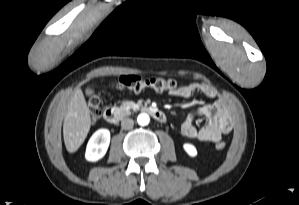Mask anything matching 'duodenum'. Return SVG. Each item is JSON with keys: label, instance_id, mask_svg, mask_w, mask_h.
<instances>
[{"label": "duodenum", "instance_id": "obj_1", "mask_svg": "<svg viewBox=\"0 0 299 205\" xmlns=\"http://www.w3.org/2000/svg\"><path fill=\"white\" fill-rule=\"evenodd\" d=\"M139 110L150 114L155 120L159 122H165L167 119L163 111L152 106L143 105L139 107ZM127 113L128 110L122 107H108L105 109L103 116L107 122L115 124L122 120L127 115Z\"/></svg>", "mask_w": 299, "mask_h": 205}]
</instances>
